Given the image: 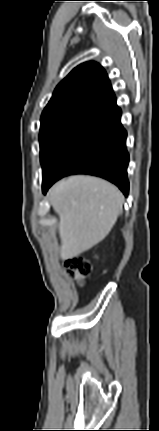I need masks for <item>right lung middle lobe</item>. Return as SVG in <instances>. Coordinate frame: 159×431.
Instances as JSON below:
<instances>
[{"label": "right lung middle lobe", "mask_w": 159, "mask_h": 431, "mask_svg": "<svg viewBox=\"0 0 159 431\" xmlns=\"http://www.w3.org/2000/svg\"><path fill=\"white\" fill-rule=\"evenodd\" d=\"M86 122L83 119L65 116L41 119L39 141L40 161L43 169L61 142Z\"/></svg>", "instance_id": "right-lung-middle-lobe-1"}]
</instances>
